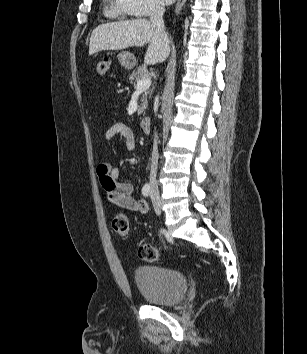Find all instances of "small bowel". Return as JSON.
<instances>
[{
    "label": "small bowel",
    "instance_id": "small-bowel-1",
    "mask_svg": "<svg viewBox=\"0 0 307 354\" xmlns=\"http://www.w3.org/2000/svg\"><path fill=\"white\" fill-rule=\"evenodd\" d=\"M121 139L124 149L132 150L135 147V133L126 123L113 124L105 132V139L108 141ZM100 184L104 190L107 200L121 208L146 213L148 205L142 199H135L132 196L133 185L129 182H120L122 170L118 167H112L109 163H101L96 169Z\"/></svg>",
    "mask_w": 307,
    "mask_h": 354
}]
</instances>
